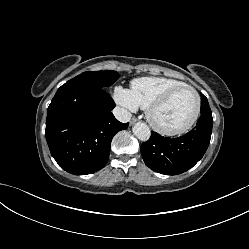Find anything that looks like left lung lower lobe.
<instances>
[{"label": "left lung lower lobe", "instance_id": "1", "mask_svg": "<svg viewBox=\"0 0 249 249\" xmlns=\"http://www.w3.org/2000/svg\"><path fill=\"white\" fill-rule=\"evenodd\" d=\"M212 114H201L197 125L178 138H167L152 132L141 145L145 164L161 174L177 175L192 168L205 154L211 138Z\"/></svg>", "mask_w": 249, "mask_h": 249}]
</instances>
